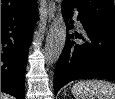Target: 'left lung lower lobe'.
I'll return each instance as SVG.
<instances>
[{
    "label": "left lung lower lobe",
    "instance_id": "1",
    "mask_svg": "<svg viewBox=\"0 0 115 99\" xmlns=\"http://www.w3.org/2000/svg\"><path fill=\"white\" fill-rule=\"evenodd\" d=\"M74 8L62 3V14L67 30L74 26L68 24ZM87 35L75 33L76 38L85 43L77 44L73 34L67 35L65 47L60 55L54 75V92L70 81L87 78L115 80V28L96 23L78 14ZM73 20L70 19V23Z\"/></svg>",
    "mask_w": 115,
    "mask_h": 99
}]
</instances>
